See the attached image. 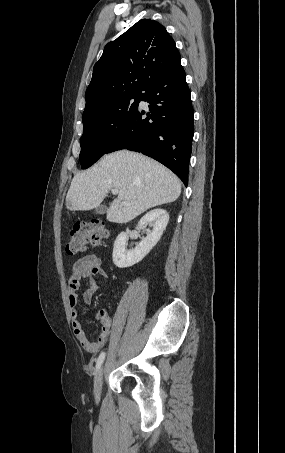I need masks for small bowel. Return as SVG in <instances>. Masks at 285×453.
Instances as JSON below:
<instances>
[{"mask_svg":"<svg viewBox=\"0 0 285 453\" xmlns=\"http://www.w3.org/2000/svg\"><path fill=\"white\" fill-rule=\"evenodd\" d=\"M96 277L107 279L108 275L102 268L100 258L95 254H89L78 259L73 264L68 280L73 332L82 348L90 353H97L105 345L113 330L112 318L105 309L99 310L95 315V319L102 325L101 332L95 341L87 337L82 323L78 318L77 305L79 301L81 300L84 304L90 305L94 294L101 289ZM81 279L86 280L87 287L84 291L80 290Z\"/></svg>","mask_w":285,"mask_h":453,"instance_id":"obj_1","label":"small bowel"}]
</instances>
